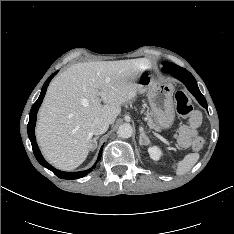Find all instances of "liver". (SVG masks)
Instances as JSON below:
<instances>
[{"mask_svg": "<svg viewBox=\"0 0 234 234\" xmlns=\"http://www.w3.org/2000/svg\"><path fill=\"white\" fill-rule=\"evenodd\" d=\"M147 68L145 58L84 62L56 77L48 87L36 126L45 158L65 171L82 164L90 150L92 123L102 119L113 124L121 106L137 96L135 79Z\"/></svg>", "mask_w": 234, "mask_h": 234, "instance_id": "6515ba94", "label": "liver"}]
</instances>
